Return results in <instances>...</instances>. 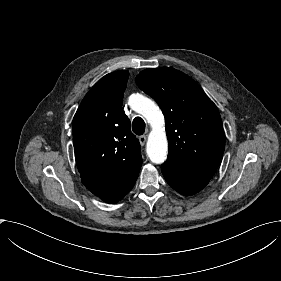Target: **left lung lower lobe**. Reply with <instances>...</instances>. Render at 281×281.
Returning a JSON list of instances; mask_svg holds the SVG:
<instances>
[{
	"mask_svg": "<svg viewBox=\"0 0 281 281\" xmlns=\"http://www.w3.org/2000/svg\"><path fill=\"white\" fill-rule=\"evenodd\" d=\"M167 183L182 195H193L203 189L217 170L216 166H191L167 159L161 166Z\"/></svg>",
	"mask_w": 281,
	"mask_h": 281,
	"instance_id": "obj_1",
	"label": "left lung lower lobe"
}]
</instances>
